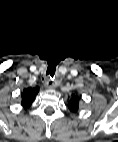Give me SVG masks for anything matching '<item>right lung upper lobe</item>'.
Masks as SVG:
<instances>
[{
	"mask_svg": "<svg viewBox=\"0 0 118 142\" xmlns=\"http://www.w3.org/2000/svg\"><path fill=\"white\" fill-rule=\"evenodd\" d=\"M39 92V87H30L23 90L21 93L22 106L27 109L31 106L35 96Z\"/></svg>",
	"mask_w": 118,
	"mask_h": 142,
	"instance_id": "1",
	"label": "right lung upper lobe"
}]
</instances>
